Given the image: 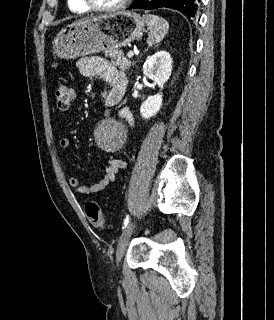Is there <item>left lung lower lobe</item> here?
<instances>
[{
	"mask_svg": "<svg viewBox=\"0 0 274 320\" xmlns=\"http://www.w3.org/2000/svg\"><path fill=\"white\" fill-rule=\"evenodd\" d=\"M200 0H135L129 9L171 8L183 13L192 23L196 20Z\"/></svg>",
	"mask_w": 274,
	"mask_h": 320,
	"instance_id": "left-lung-lower-lobe-1",
	"label": "left lung lower lobe"
}]
</instances>
